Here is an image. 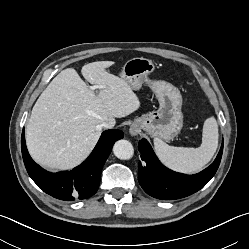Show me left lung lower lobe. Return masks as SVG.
<instances>
[{"label": "left lung lower lobe", "instance_id": "1", "mask_svg": "<svg viewBox=\"0 0 249 249\" xmlns=\"http://www.w3.org/2000/svg\"><path fill=\"white\" fill-rule=\"evenodd\" d=\"M138 149L142 161L145 162L144 166L141 162L138 165V180L141 187L152 197L172 200L189 196L207 184L219 167L223 144L215 161L195 175L176 173L164 167L145 139L139 141Z\"/></svg>", "mask_w": 249, "mask_h": 249}]
</instances>
